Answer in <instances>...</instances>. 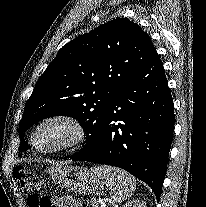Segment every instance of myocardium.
<instances>
[{
    "label": "myocardium",
    "mask_w": 206,
    "mask_h": 207,
    "mask_svg": "<svg viewBox=\"0 0 206 207\" xmlns=\"http://www.w3.org/2000/svg\"><path fill=\"white\" fill-rule=\"evenodd\" d=\"M59 122L67 125L71 130L70 137L62 144L51 147V148H39L36 146L34 142V138L39 129H41L44 125ZM87 138V131L85 126L79 121L77 118L66 115V114H56L48 116L41 121H39L35 127L32 129L29 136V143L31 148L41 154H56L62 153L66 151H70L80 147Z\"/></svg>",
    "instance_id": "f54148a6"
}]
</instances>
